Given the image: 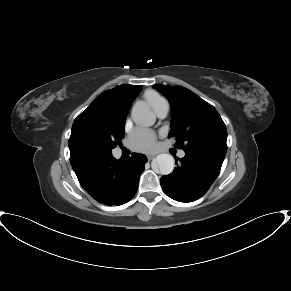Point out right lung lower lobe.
<instances>
[{
	"mask_svg": "<svg viewBox=\"0 0 291 291\" xmlns=\"http://www.w3.org/2000/svg\"><path fill=\"white\" fill-rule=\"evenodd\" d=\"M70 162L81 186L96 201L121 205L137 192L147 158L137 153L119 160L112 153H73Z\"/></svg>",
	"mask_w": 291,
	"mask_h": 291,
	"instance_id": "1",
	"label": "right lung lower lobe"
}]
</instances>
